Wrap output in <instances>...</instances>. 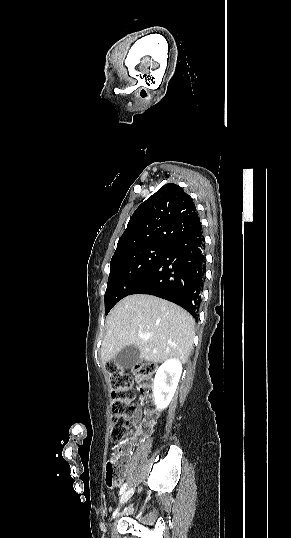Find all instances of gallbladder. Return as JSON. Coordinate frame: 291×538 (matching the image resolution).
Segmentation results:
<instances>
[{
  "label": "gallbladder",
  "mask_w": 291,
  "mask_h": 538,
  "mask_svg": "<svg viewBox=\"0 0 291 538\" xmlns=\"http://www.w3.org/2000/svg\"><path fill=\"white\" fill-rule=\"evenodd\" d=\"M140 361V351L135 345L122 349L114 358L116 365L122 369H130Z\"/></svg>",
  "instance_id": "bac80fb5"
}]
</instances>
